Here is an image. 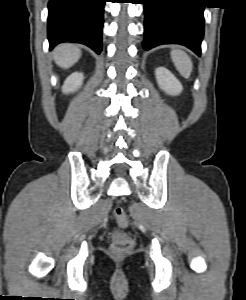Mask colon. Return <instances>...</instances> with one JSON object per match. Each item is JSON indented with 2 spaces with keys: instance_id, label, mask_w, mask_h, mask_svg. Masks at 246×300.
Wrapping results in <instances>:
<instances>
[{
  "instance_id": "5ec220e1",
  "label": "colon",
  "mask_w": 246,
  "mask_h": 300,
  "mask_svg": "<svg viewBox=\"0 0 246 300\" xmlns=\"http://www.w3.org/2000/svg\"><path fill=\"white\" fill-rule=\"evenodd\" d=\"M113 214L119 227L124 228L128 225V218L122 207H115ZM132 246L133 240L128 233L117 231L112 235L111 249L117 256L125 254Z\"/></svg>"
}]
</instances>
